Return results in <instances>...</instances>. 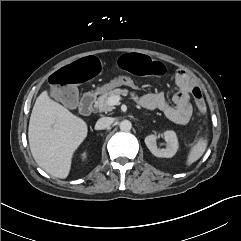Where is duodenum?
<instances>
[{"mask_svg": "<svg viewBox=\"0 0 241 241\" xmlns=\"http://www.w3.org/2000/svg\"><path fill=\"white\" fill-rule=\"evenodd\" d=\"M94 102H95V93L93 91H88L86 92L80 101V112L83 115H90L92 113L93 110V106H94Z\"/></svg>", "mask_w": 241, "mask_h": 241, "instance_id": "1", "label": "duodenum"}]
</instances>
